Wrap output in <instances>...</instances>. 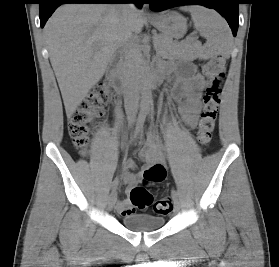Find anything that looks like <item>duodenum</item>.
I'll return each instance as SVG.
<instances>
[{"instance_id": "duodenum-1", "label": "duodenum", "mask_w": 279, "mask_h": 267, "mask_svg": "<svg viewBox=\"0 0 279 267\" xmlns=\"http://www.w3.org/2000/svg\"><path fill=\"white\" fill-rule=\"evenodd\" d=\"M107 78L115 86L119 93L123 94L126 97H129L131 95V88L124 81L120 64L115 63L109 68ZM160 78L161 75L156 72L148 73L141 78L139 87H149L152 84L157 83Z\"/></svg>"}]
</instances>
